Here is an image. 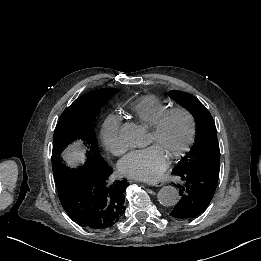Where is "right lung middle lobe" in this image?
I'll return each instance as SVG.
<instances>
[{
  "mask_svg": "<svg viewBox=\"0 0 261 261\" xmlns=\"http://www.w3.org/2000/svg\"><path fill=\"white\" fill-rule=\"evenodd\" d=\"M118 91L104 88L88 92L76 99L62 113L53 135L52 169L56 182L69 170L62 162L61 153L76 139H82L89 144L85 166L104 161L97 151L93 121L101 107Z\"/></svg>",
  "mask_w": 261,
  "mask_h": 261,
  "instance_id": "right-lung-middle-lobe-1",
  "label": "right lung middle lobe"
}]
</instances>
